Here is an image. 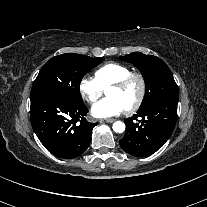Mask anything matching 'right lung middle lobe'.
<instances>
[{
    "label": "right lung middle lobe",
    "instance_id": "1",
    "mask_svg": "<svg viewBox=\"0 0 207 207\" xmlns=\"http://www.w3.org/2000/svg\"><path fill=\"white\" fill-rule=\"evenodd\" d=\"M103 60L104 58H90L74 53L51 58L33 82L31 97L49 93L82 103L80 82L86 73Z\"/></svg>",
    "mask_w": 207,
    "mask_h": 207
}]
</instances>
